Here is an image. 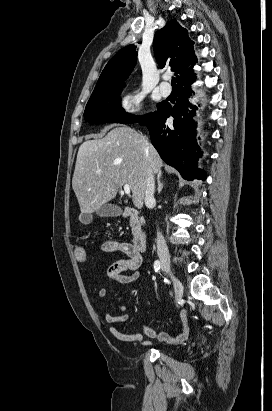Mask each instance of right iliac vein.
I'll list each match as a JSON object with an SVG mask.
<instances>
[{"mask_svg":"<svg viewBox=\"0 0 272 411\" xmlns=\"http://www.w3.org/2000/svg\"><path fill=\"white\" fill-rule=\"evenodd\" d=\"M162 269L169 275L171 278L176 292V297L178 300H181L183 294V286L179 279L176 277L174 271L171 268V265L168 261H162Z\"/></svg>","mask_w":272,"mask_h":411,"instance_id":"obj_1","label":"right iliac vein"}]
</instances>
